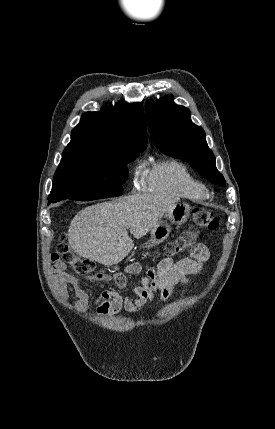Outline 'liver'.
Here are the masks:
<instances>
[{"label":"liver","instance_id":"obj_1","mask_svg":"<svg viewBox=\"0 0 275 429\" xmlns=\"http://www.w3.org/2000/svg\"><path fill=\"white\" fill-rule=\"evenodd\" d=\"M176 202L168 196L136 194L86 207L71 221L69 247L102 265L118 264L134 247L126 228L137 239L145 236Z\"/></svg>","mask_w":275,"mask_h":429}]
</instances>
